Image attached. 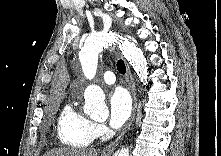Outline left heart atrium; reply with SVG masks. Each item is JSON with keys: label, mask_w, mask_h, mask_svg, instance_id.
I'll use <instances>...</instances> for the list:
<instances>
[{"label": "left heart atrium", "mask_w": 221, "mask_h": 156, "mask_svg": "<svg viewBox=\"0 0 221 156\" xmlns=\"http://www.w3.org/2000/svg\"><path fill=\"white\" fill-rule=\"evenodd\" d=\"M108 102L109 124L112 128L118 129L125 124L131 115V97L124 88L118 87L110 93Z\"/></svg>", "instance_id": "1"}]
</instances>
